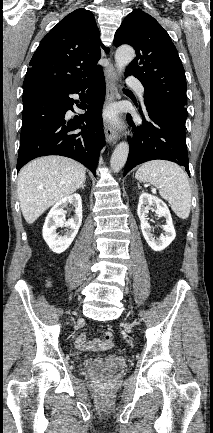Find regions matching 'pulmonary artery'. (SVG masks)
I'll list each match as a JSON object with an SVG mask.
<instances>
[{
	"label": "pulmonary artery",
	"instance_id": "1",
	"mask_svg": "<svg viewBox=\"0 0 213 433\" xmlns=\"http://www.w3.org/2000/svg\"><path fill=\"white\" fill-rule=\"evenodd\" d=\"M127 84L129 86L133 87L137 91V93L140 97H143L145 90H144L143 85L141 84V82L138 79H136L134 77H129L127 79Z\"/></svg>",
	"mask_w": 213,
	"mask_h": 433
}]
</instances>
